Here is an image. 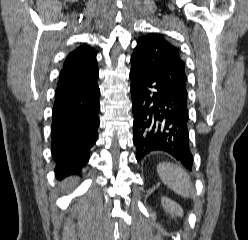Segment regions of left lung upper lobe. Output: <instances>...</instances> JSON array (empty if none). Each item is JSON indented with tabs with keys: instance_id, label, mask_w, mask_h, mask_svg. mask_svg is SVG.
<instances>
[{
	"instance_id": "obj_1",
	"label": "left lung upper lobe",
	"mask_w": 248,
	"mask_h": 240,
	"mask_svg": "<svg viewBox=\"0 0 248 240\" xmlns=\"http://www.w3.org/2000/svg\"><path fill=\"white\" fill-rule=\"evenodd\" d=\"M131 59L187 96L185 63L179 49L162 34L149 33L140 37Z\"/></svg>"
}]
</instances>
